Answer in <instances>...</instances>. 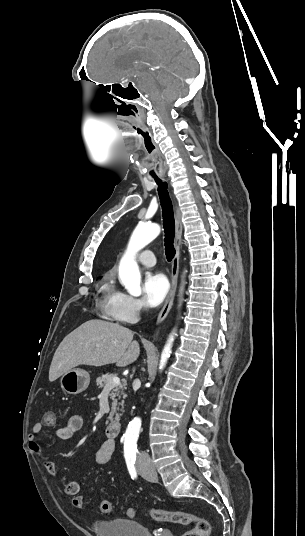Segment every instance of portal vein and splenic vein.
Returning a JSON list of instances; mask_svg holds the SVG:
<instances>
[{
    "label": "portal vein and splenic vein",
    "mask_w": 305,
    "mask_h": 536,
    "mask_svg": "<svg viewBox=\"0 0 305 536\" xmlns=\"http://www.w3.org/2000/svg\"><path fill=\"white\" fill-rule=\"evenodd\" d=\"M115 384H120V378H112V380H110V382H108V384H106L105 388H113V386H115Z\"/></svg>",
    "instance_id": "portal-vein-and-splenic-vein-1"
}]
</instances>
